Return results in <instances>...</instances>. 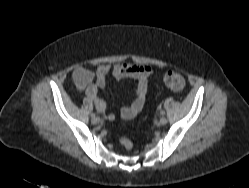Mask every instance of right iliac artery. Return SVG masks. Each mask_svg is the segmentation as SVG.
I'll list each match as a JSON object with an SVG mask.
<instances>
[{"instance_id": "1", "label": "right iliac artery", "mask_w": 249, "mask_h": 188, "mask_svg": "<svg viewBox=\"0 0 249 188\" xmlns=\"http://www.w3.org/2000/svg\"><path fill=\"white\" fill-rule=\"evenodd\" d=\"M95 116H96V115H95L94 113L91 114V117H92V118L95 117Z\"/></svg>"}]
</instances>
